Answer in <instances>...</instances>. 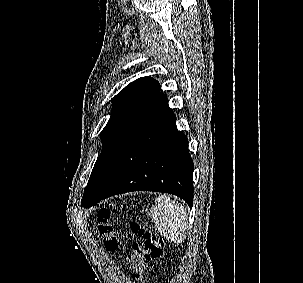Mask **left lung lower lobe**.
Segmentation results:
<instances>
[{
	"mask_svg": "<svg viewBox=\"0 0 303 283\" xmlns=\"http://www.w3.org/2000/svg\"><path fill=\"white\" fill-rule=\"evenodd\" d=\"M176 117L160 92L120 153L110 174L94 193L83 196L89 208L113 195L157 191L177 195L193 205L194 165L187 137L177 130Z\"/></svg>",
	"mask_w": 303,
	"mask_h": 283,
	"instance_id": "obj_1",
	"label": "left lung lower lobe"
}]
</instances>
